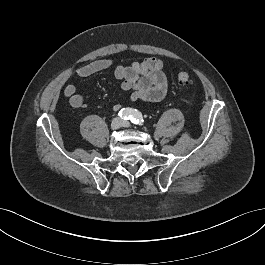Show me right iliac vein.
Here are the masks:
<instances>
[{"label":"right iliac vein","instance_id":"obj_1","mask_svg":"<svg viewBox=\"0 0 265 265\" xmlns=\"http://www.w3.org/2000/svg\"><path fill=\"white\" fill-rule=\"evenodd\" d=\"M121 125H122V120L120 118H114L111 122L110 127L112 130H117L121 127Z\"/></svg>","mask_w":265,"mask_h":265}]
</instances>
